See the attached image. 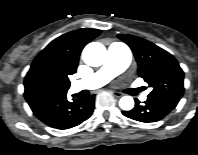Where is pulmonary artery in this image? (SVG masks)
Instances as JSON below:
<instances>
[{
  "label": "pulmonary artery",
  "instance_id": "pulmonary-artery-1",
  "mask_svg": "<svg viewBox=\"0 0 198 155\" xmlns=\"http://www.w3.org/2000/svg\"><path fill=\"white\" fill-rule=\"evenodd\" d=\"M131 55L128 49L121 43H113L107 51L104 65L90 77L76 80L71 84L73 92L84 89H96L111 81L115 76L122 73L130 64ZM146 96L142 95L141 100Z\"/></svg>",
  "mask_w": 198,
  "mask_h": 155
}]
</instances>
